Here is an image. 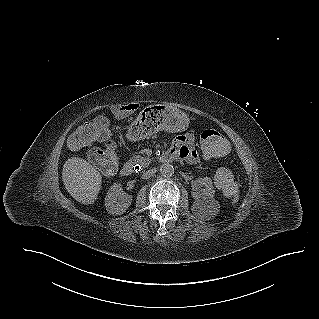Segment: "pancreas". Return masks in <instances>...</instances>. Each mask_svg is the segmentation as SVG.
<instances>
[{
	"mask_svg": "<svg viewBox=\"0 0 319 319\" xmlns=\"http://www.w3.org/2000/svg\"><path fill=\"white\" fill-rule=\"evenodd\" d=\"M133 162L135 164L140 165L142 168H146L149 166L150 162H151V158L150 157H140V156H135L132 158Z\"/></svg>",
	"mask_w": 319,
	"mask_h": 319,
	"instance_id": "1",
	"label": "pancreas"
}]
</instances>
